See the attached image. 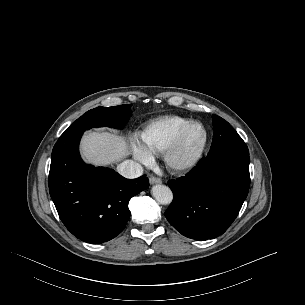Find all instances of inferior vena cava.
I'll list each match as a JSON object with an SVG mask.
<instances>
[{
  "mask_svg": "<svg viewBox=\"0 0 305 305\" xmlns=\"http://www.w3.org/2000/svg\"><path fill=\"white\" fill-rule=\"evenodd\" d=\"M117 171L123 177L129 179L140 177L143 174L142 166L133 160L123 161L117 166Z\"/></svg>",
  "mask_w": 305,
  "mask_h": 305,
  "instance_id": "inferior-vena-cava-1",
  "label": "inferior vena cava"
}]
</instances>
